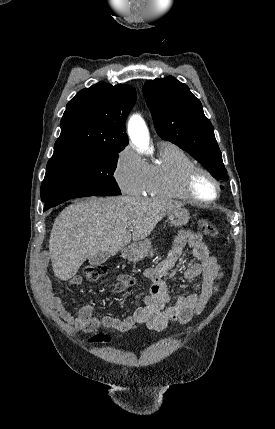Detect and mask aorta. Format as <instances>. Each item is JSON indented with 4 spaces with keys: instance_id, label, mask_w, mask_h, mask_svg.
<instances>
[{
    "instance_id": "762f6f07",
    "label": "aorta",
    "mask_w": 275,
    "mask_h": 429,
    "mask_svg": "<svg viewBox=\"0 0 275 429\" xmlns=\"http://www.w3.org/2000/svg\"><path fill=\"white\" fill-rule=\"evenodd\" d=\"M131 139L140 152H149V134L143 120L134 116L130 121Z\"/></svg>"
}]
</instances>
